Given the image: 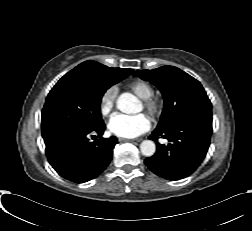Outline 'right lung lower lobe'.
Here are the masks:
<instances>
[{
	"label": "right lung lower lobe",
	"mask_w": 252,
	"mask_h": 231,
	"mask_svg": "<svg viewBox=\"0 0 252 231\" xmlns=\"http://www.w3.org/2000/svg\"><path fill=\"white\" fill-rule=\"evenodd\" d=\"M105 125L89 131H61L44 140L51 166L63 178L87 182L98 176L110 163L117 138H101ZM97 134L100 139L89 142L88 136Z\"/></svg>",
	"instance_id": "obj_1"
}]
</instances>
